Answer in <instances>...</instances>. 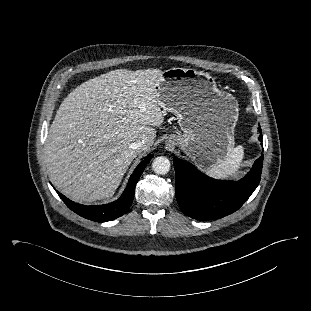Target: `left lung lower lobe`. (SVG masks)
<instances>
[{"label":"left lung lower lobe","instance_id":"left-lung-lower-lobe-1","mask_svg":"<svg viewBox=\"0 0 311 311\" xmlns=\"http://www.w3.org/2000/svg\"><path fill=\"white\" fill-rule=\"evenodd\" d=\"M259 140H262L261 128ZM261 155L241 180L219 181L197 170L191 163L174 158L176 198L181 210L198 220H213L238 210L257 188L263 165Z\"/></svg>","mask_w":311,"mask_h":311}]
</instances>
